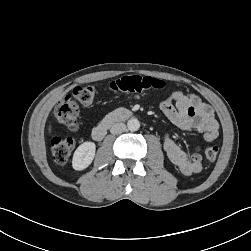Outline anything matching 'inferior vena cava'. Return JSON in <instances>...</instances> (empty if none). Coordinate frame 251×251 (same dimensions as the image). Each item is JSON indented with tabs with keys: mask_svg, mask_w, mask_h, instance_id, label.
I'll list each match as a JSON object with an SVG mask.
<instances>
[{
	"mask_svg": "<svg viewBox=\"0 0 251 251\" xmlns=\"http://www.w3.org/2000/svg\"><path fill=\"white\" fill-rule=\"evenodd\" d=\"M124 131H126V125L124 123H115L110 129L112 134H120Z\"/></svg>",
	"mask_w": 251,
	"mask_h": 251,
	"instance_id": "602c4592",
	"label": "inferior vena cava"
}]
</instances>
